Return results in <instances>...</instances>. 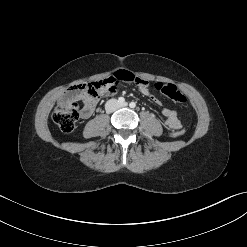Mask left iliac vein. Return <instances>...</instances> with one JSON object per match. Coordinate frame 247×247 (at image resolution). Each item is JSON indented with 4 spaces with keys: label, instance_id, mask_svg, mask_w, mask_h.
Masks as SVG:
<instances>
[{
    "label": "left iliac vein",
    "instance_id": "1",
    "mask_svg": "<svg viewBox=\"0 0 247 247\" xmlns=\"http://www.w3.org/2000/svg\"><path fill=\"white\" fill-rule=\"evenodd\" d=\"M120 106L126 107L127 106V103L125 102V103L121 104Z\"/></svg>",
    "mask_w": 247,
    "mask_h": 247
}]
</instances>
